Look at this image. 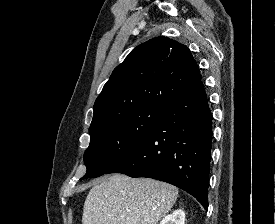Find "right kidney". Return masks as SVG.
<instances>
[{
  "mask_svg": "<svg viewBox=\"0 0 275 224\" xmlns=\"http://www.w3.org/2000/svg\"><path fill=\"white\" fill-rule=\"evenodd\" d=\"M185 213L182 209H177L171 214L165 216L160 224H184Z\"/></svg>",
  "mask_w": 275,
  "mask_h": 224,
  "instance_id": "1",
  "label": "right kidney"
}]
</instances>
